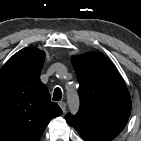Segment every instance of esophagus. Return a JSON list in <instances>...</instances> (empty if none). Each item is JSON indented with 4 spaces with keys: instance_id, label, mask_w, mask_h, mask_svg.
<instances>
[{
    "instance_id": "obj_1",
    "label": "esophagus",
    "mask_w": 141,
    "mask_h": 141,
    "mask_svg": "<svg viewBox=\"0 0 141 141\" xmlns=\"http://www.w3.org/2000/svg\"><path fill=\"white\" fill-rule=\"evenodd\" d=\"M58 104H59L60 108L62 109V111L65 112L66 111V103L61 101Z\"/></svg>"
}]
</instances>
